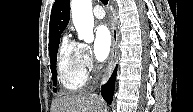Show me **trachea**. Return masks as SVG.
I'll return each mask as SVG.
<instances>
[{"label":"trachea","mask_w":193,"mask_h":112,"mask_svg":"<svg viewBox=\"0 0 193 112\" xmlns=\"http://www.w3.org/2000/svg\"><path fill=\"white\" fill-rule=\"evenodd\" d=\"M101 2H102L104 5H107V4H108V0H101Z\"/></svg>","instance_id":"3493384b"}]
</instances>
